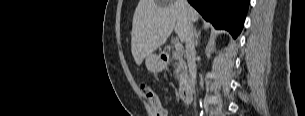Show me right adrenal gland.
Here are the masks:
<instances>
[{"label":"right adrenal gland","instance_id":"right-adrenal-gland-1","mask_svg":"<svg viewBox=\"0 0 305 116\" xmlns=\"http://www.w3.org/2000/svg\"><path fill=\"white\" fill-rule=\"evenodd\" d=\"M200 35V32H197L196 28L194 29V36H195V44H198V37Z\"/></svg>","mask_w":305,"mask_h":116}]
</instances>
